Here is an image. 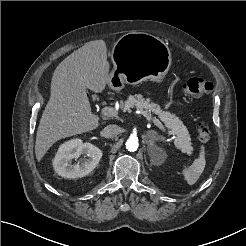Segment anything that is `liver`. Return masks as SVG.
Returning <instances> with one entry per match:
<instances>
[{
    "label": "liver",
    "instance_id": "liver-1",
    "mask_svg": "<svg viewBox=\"0 0 246 246\" xmlns=\"http://www.w3.org/2000/svg\"><path fill=\"white\" fill-rule=\"evenodd\" d=\"M109 68L103 40L86 43L56 67L50 99L37 130V161H41L60 139L89 132L99 126V117L91 112L86 88L95 93L102 92L108 84Z\"/></svg>",
    "mask_w": 246,
    "mask_h": 246
}]
</instances>
